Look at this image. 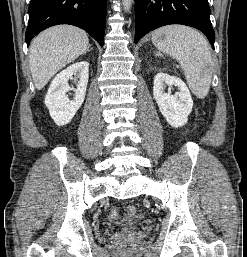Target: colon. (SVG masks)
<instances>
[{
	"instance_id": "1",
	"label": "colon",
	"mask_w": 247,
	"mask_h": 257,
	"mask_svg": "<svg viewBox=\"0 0 247 257\" xmlns=\"http://www.w3.org/2000/svg\"><path fill=\"white\" fill-rule=\"evenodd\" d=\"M125 211H126L127 216L130 217V218H134L137 215V208L134 205H128L126 207ZM110 217L113 220H116V221L119 220V215H118V212L116 210H111Z\"/></svg>"
}]
</instances>
